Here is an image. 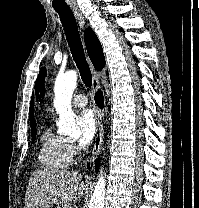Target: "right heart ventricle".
I'll list each match as a JSON object with an SVG mask.
<instances>
[{"label":"right heart ventricle","instance_id":"right-heart-ventricle-1","mask_svg":"<svg viewBox=\"0 0 199 208\" xmlns=\"http://www.w3.org/2000/svg\"><path fill=\"white\" fill-rule=\"evenodd\" d=\"M38 158L46 169H64L70 162L66 141L51 129H45L41 135Z\"/></svg>","mask_w":199,"mask_h":208}]
</instances>
